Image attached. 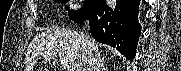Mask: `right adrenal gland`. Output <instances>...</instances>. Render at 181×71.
<instances>
[{"label":"right adrenal gland","mask_w":181,"mask_h":71,"mask_svg":"<svg viewBox=\"0 0 181 71\" xmlns=\"http://www.w3.org/2000/svg\"><path fill=\"white\" fill-rule=\"evenodd\" d=\"M101 71H107L108 70V66L105 65V60H104V57L102 58L101 60Z\"/></svg>","instance_id":"obj_1"}]
</instances>
